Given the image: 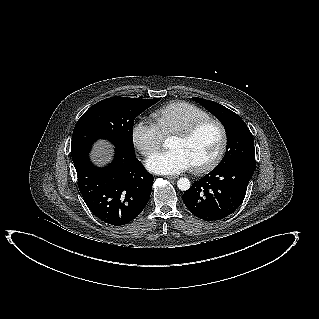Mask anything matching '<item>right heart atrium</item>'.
<instances>
[{"label":"right heart atrium","instance_id":"1","mask_svg":"<svg viewBox=\"0 0 319 319\" xmlns=\"http://www.w3.org/2000/svg\"><path fill=\"white\" fill-rule=\"evenodd\" d=\"M131 139L136 149L147 157L158 150L162 135L152 123L139 120L132 127Z\"/></svg>","mask_w":319,"mask_h":319}]
</instances>
